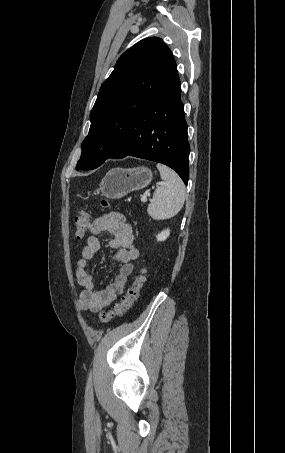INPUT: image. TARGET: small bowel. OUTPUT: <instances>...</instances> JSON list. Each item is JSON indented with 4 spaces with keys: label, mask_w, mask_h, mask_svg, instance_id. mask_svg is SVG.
<instances>
[{
    "label": "small bowel",
    "mask_w": 285,
    "mask_h": 453,
    "mask_svg": "<svg viewBox=\"0 0 285 453\" xmlns=\"http://www.w3.org/2000/svg\"><path fill=\"white\" fill-rule=\"evenodd\" d=\"M89 231L90 235L87 238L86 245L81 249V258L76 267V279L82 287L78 307L82 311L96 313L125 292L128 277L134 269L133 261L139 257L140 252L134 244L131 225L120 213L113 212L96 217L90 224ZM103 232L111 235L109 246L116 250L113 261L121 264V267L112 283L102 290H96L88 265L101 248L99 235Z\"/></svg>",
    "instance_id": "small-bowel-1"
}]
</instances>
